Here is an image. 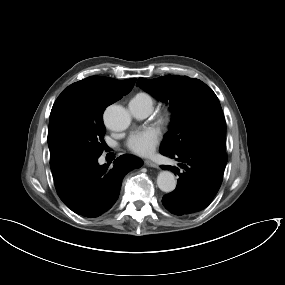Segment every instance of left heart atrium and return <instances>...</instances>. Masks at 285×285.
I'll use <instances>...</instances> for the list:
<instances>
[{"instance_id": "left-heart-atrium-1", "label": "left heart atrium", "mask_w": 285, "mask_h": 285, "mask_svg": "<svg viewBox=\"0 0 285 285\" xmlns=\"http://www.w3.org/2000/svg\"><path fill=\"white\" fill-rule=\"evenodd\" d=\"M161 140V131L156 127L140 128L132 131L127 138V148L138 156L153 153Z\"/></svg>"}]
</instances>
